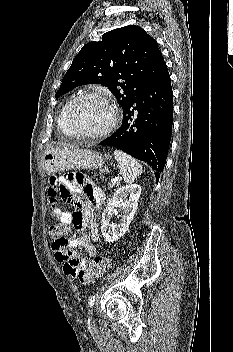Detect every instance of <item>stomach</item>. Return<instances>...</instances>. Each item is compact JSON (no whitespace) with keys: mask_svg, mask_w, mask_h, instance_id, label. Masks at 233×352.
<instances>
[{"mask_svg":"<svg viewBox=\"0 0 233 352\" xmlns=\"http://www.w3.org/2000/svg\"><path fill=\"white\" fill-rule=\"evenodd\" d=\"M104 163V156L88 149L49 147L43 154V170L47 174L71 169H98Z\"/></svg>","mask_w":233,"mask_h":352,"instance_id":"obj_1","label":"stomach"}]
</instances>
